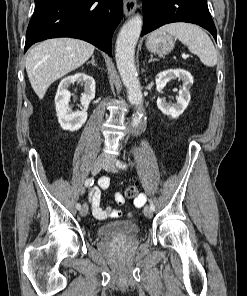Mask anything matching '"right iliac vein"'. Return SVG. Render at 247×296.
I'll return each instance as SVG.
<instances>
[{
    "label": "right iliac vein",
    "instance_id": "right-iliac-vein-1",
    "mask_svg": "<svg viewBox=\"0 0 247 296\" xmlns=\"http://www.w3.org/2000/svg\"><path fill=\"white\" fill-rule=\"evenodd\" d=\"M104 163V158L103 157H99L97 158L93 165H92V174L96 175L97 173H99V171L102 168V165ZM88 214V205L87 204H83L81 210H80V215L81 216H86Z\"/></svg>",
    "mask_w": 247,
    "mask_h": 296
}]
</instances>
